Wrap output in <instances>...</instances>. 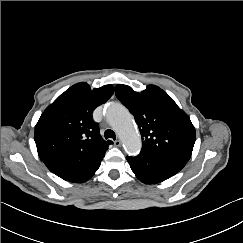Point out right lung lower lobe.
<instances>
[{"mask_svg": "<svg viewBox=\"0 0 243 243\" xmlns=\"http://www.w3.org/2000/svg\"><path fill=\"white\" fill-rule=\"evenodd\" d=\"M100 163L101 162L89 165L79 171L69 172V173L59 175V177H61L64 180L75 182V183L85 182L88 179H90L94 175V173L98 170Z\"/></svg>", "mask_w": 243, "mask_h": 243, "instance_id": "1", "label": "right lung lower lobe"}]
</instances>
